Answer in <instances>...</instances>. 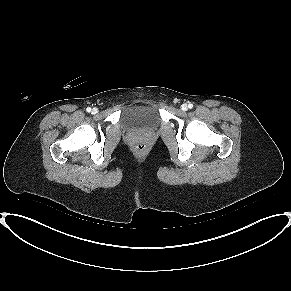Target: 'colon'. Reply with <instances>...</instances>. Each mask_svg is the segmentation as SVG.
Masks as SVG:
<instances>
[{
	"label": "colon",
	"instance_id": "5ec220e1",
	"mask_svg": "<svg viewBox=\"0 0 291 291\" xmlns=\"http://www.w3.org/2000/svg\"><path fill=\"white\" fill-rule=\"evenodd\" d=\"M134 148H135L136 153L138 154H143L147 150L146 145L143 143H137Z\"/></svg>",
	"mask_w": 291,
	"mask_h": 291
}]
</instances>
